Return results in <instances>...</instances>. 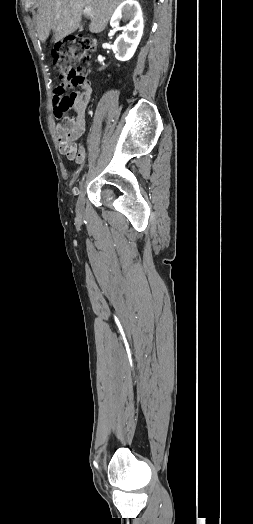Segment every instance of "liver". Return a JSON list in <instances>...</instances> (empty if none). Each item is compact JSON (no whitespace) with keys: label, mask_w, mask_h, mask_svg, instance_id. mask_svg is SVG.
Returning <instances> with one entry per match:
<instances>
[{"label":"liver","mask_w":253,"mask_h":524,"mask_svg":"<svg viewBox=\"0 0 253 524\" xmlns=\"http://www.w3.org/2000/svg\"><path fill=\"white\" fill-rule=\"evenodd\" d=\"M123 0H39L36 27L39 39L45 42L51 31L54 42L73 33L80 25L83 8L91 7L89 30L101 33L114 10Z\"/></svg>","instance_id":"6515ba94"}]
</instances>
